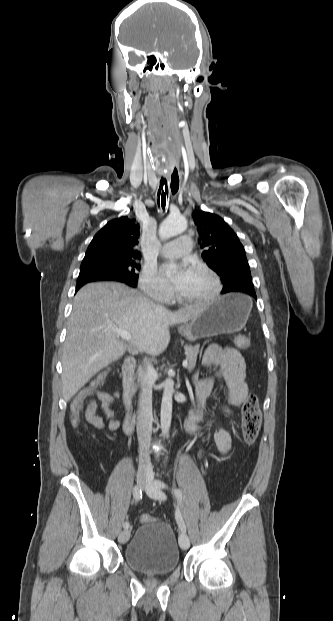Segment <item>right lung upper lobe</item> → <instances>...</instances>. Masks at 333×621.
I'll return each mask as SVG.
<instances>
[{
    "mask_svg": "<svg viewBox=\"0 0 333 621\" xmlns=\"http://www.w3.org/2000/svg\"><path fill=\"white\" fill-rule=\"evenodd\" d=\"M139 225L127 216L109 221L91 241L84 259L140 258L137 250ZM83 259V260H84Z\"/></svg>",
    "mask_w": 333,
    "mask_h": 621,
    "instance_id": "obj_1",
    "label": "right lung upper lobe"
}]
</instances>
